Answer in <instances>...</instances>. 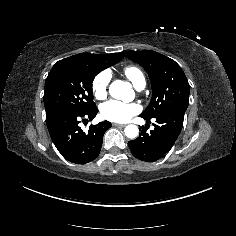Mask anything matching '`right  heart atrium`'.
Listing matches in <instances>:
<instances>
[{
	"label": "right heart atrium",
	"mask_w": 236,
	"mask_h": 236,
	"mask_svg": "<svg viewBox=\"0 0 236 236\" xmlns=\"http://www.w3.org/2000/svg\"><path fill=\"white\" fill-rule=\"evenodd\" d=\"M110 75L107 72L98 74L92 83V92L96 100L101 101L107 97Z\"/></svg>",
	"instance_id": "d8ad5b80"
}]
</instances>
